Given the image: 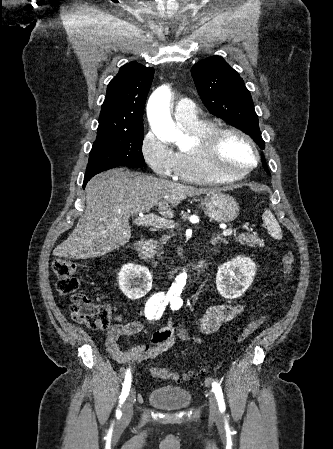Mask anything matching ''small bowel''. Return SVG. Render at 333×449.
<instances>
[{"label":"small bowel","instance_id":"c3829d8e","mask_svg":"<svg viewBox=\"0 0 333 449\" xmlns=\"http://www.w3.org/2000/svg\"><path fill=\"white\" fill-rule=\"evenodd\" d=\"M242 311L243 305L241 304H217L208 307L196 323L199 334H209L218 330L231 322ZM142 329L143 324L140 320H127L120 316L117 318V322L106 332L104 340L106 350L113 360L124 365L153 360L173 348L177 336L181 339L191 337L186 329L176 325L170 319L164 327L153 332L149 343L130 345L125 349L120 346L122 337L137 335ZM196 339L198 340L197 337Z\"/></svg>","mask_w":333,"mask_h":449}]
</instances>
